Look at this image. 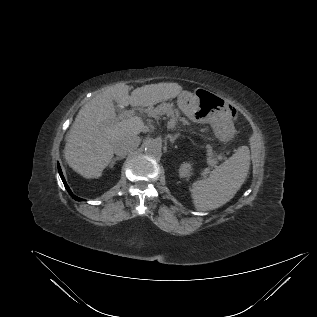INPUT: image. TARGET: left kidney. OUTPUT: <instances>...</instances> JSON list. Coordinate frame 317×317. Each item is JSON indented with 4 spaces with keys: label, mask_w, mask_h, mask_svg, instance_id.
Here are the masks:
<instances>
[{
    "label": "left kidney",
    "mask_w": 317,
    "mask_h": 317,
    "mask_svg": "<svg viewBox=\"0 0 317 317\" xmlns=\"http://www.w3.org/2000/svg\"><path fill=\"white\" fill-rule=\"evenodd\" d=\"M191 174H192V165L188 162H184L183 164H181L179 168L180 177L186 178L188 180Z\"/></svg>",
    "instance_id": "left-kidney-1"
}]
</instances>
